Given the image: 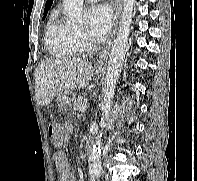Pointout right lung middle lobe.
Segmentation results:
<instances>
[{
  "label": "right lung middle lobe",
  "mask_w": 197,
  "mask_h": 181,
  "mask_svg": "<svg viewBox=\"0 0 197 181\" xmlns=\"http://www.w3.org/2000/svg\"><path fill=\"white\" fill-rule=\"evenodd\" d=\"M45 16H46V14H44V17H43V19L45 18Z\"/></svg>",
  "instance_id": "obj_1"
}]
</instances>
